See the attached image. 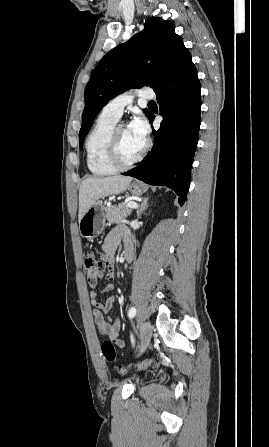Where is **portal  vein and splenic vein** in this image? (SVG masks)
I'll list each match as a JSON object with an SVG mask.
<instances>
[{"label": "portal vein and splenic vein", "instance_id": "18ae733b", "mask_svg": "<svg viewBox=\"0 0 269 447\" xmlns=\"http://www.w3.org/2000/svg\"><path fill=\"white\" fill-rule=\"evenodd\" d=\"M128 208H138L137 202H128Z\"/></svg>", "mask_w": 269, "mask_h": 447}]
</instances>
